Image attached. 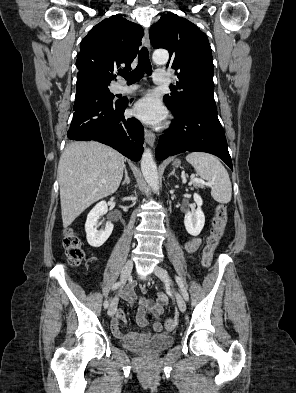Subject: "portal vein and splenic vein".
<instances>
[{"label": "portal vein and splenic vein", "instance_id": "1", "mask_svg": "<svg viewBox=\"0 0 296 393\" xmlns=\"http://www.w3.org/2000/svg\"><path fill=\"white\" fill-rule=\"evenodd\" d=\"M191 181H192V182H198V183H201V184L209 185V184L206 183L204 180L199 179V178H192Z\"/></svg>", "mask_w": 296, "mask_h": 393}]
</instances>
